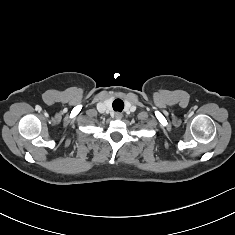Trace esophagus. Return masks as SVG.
Segmentation results:
<instances>
[{
	"label": "esophagus",
	"mask_w": 235,
	"mask_h": 235,
	"mask_svg": "<svg viewBox=\"0 0 235 235\" xmlns=\"http://www.w3.org/2000/svg\"><path fill=\"white\" fill-rule=\"evenodd\" d=\"M122 116L123 115L121 113H119V112L115 113V119H117V120H120L122 118Z\"/></svg>",
	"instance_id": "34e87169"
}]
</instances>
